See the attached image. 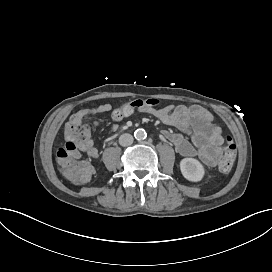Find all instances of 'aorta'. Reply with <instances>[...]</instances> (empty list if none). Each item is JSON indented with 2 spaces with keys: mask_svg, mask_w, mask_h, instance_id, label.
Returning a JSON list of instances; mask_svg holds the SVG:
<instances>
[{
  "mask_svg": "<svg viewBox=\"0 0 272 272\" xmlns=\"http://www.w3.org/2000/svg\"><path fill=\"white\" fill-rule=\"evenodd\" d=\"M134 137L137 139V140H139V141H141V140H144L146 137H147V133H146V131L144 130V129H137V130H135V132H134Z\"/></svg>",
  "mask_w": 272,
  "mask_h": 272,
  "instance_id": "1",
  "label": "aorta"
}]
</instances>
